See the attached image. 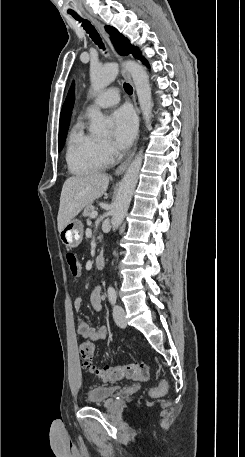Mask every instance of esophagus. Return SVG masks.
<instances>
[{
  "label": "esophagus",
  "instance_id": "1",
  "mask_svg": "<svg viewBox=\"0 0 245 457\" xmlns=\"http://www.w3.org/2000/svg\"><path fill=\"white\" fill-rule=\"evenodd\" d=\"M89 18L93 21V23L96 25V27L99 29V31L103 35L104 39L108 42V44L112 48L109 37H108L107 33L105 32L103 25L98 20H96V18H94L92 16H89ZM118 58H119V61L121 62V72H122L123 77H125L126 80H128V82H130L131 85H133L130 73L126 70L122 58L121 57H118ZM133 102H134V107H135L136 111L139 112V109H138L137 103H136L135 91H133ZM138 139H139V130H138V135H137V141H138ZM135 151H136V145H135L133 151L131 152V154L129 155V157L123 163H121V165H119V167L116 168L115 175H121L122 173L125 172L126 168L128 167L129 163L131 162V160L135 154Z\"/></svg>",
  "mask_w": 245,
  "mask_h": 457
}]
</instances>
